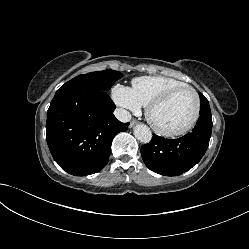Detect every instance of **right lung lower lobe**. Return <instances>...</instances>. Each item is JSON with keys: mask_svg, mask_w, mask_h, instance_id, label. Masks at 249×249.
I'll return each mask as SVG.
<instances>
[{"mask_svg": "<svg viewBox=\"0 0 249 249\" xmlns=\"http://www.w3.org/2000/svg\"><path fill=\"white\" fill-rule=\"evenodd\" d=\"M115 104L97 87L65 83L47 111L46 139L58 165L75 176L100 171L109 160L116 134L129 123L115 118Z\"/></svg>", "mask_w": 249, "mask_h": 249, "instance_id": "obj_1", "label": "right lung lower lobe"}]
</instances>
